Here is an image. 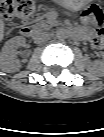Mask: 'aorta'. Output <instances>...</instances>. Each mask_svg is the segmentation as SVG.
<instances>
[{"label":"aorta","instance_id":"762f6f07","mask_svg":"<svg viewBox=\"0 0 104 137\" xmlns=\"http://www.w3.org/2000/svg\"><path fill=\"white\" fill-rule=\"evenodd\" d=\"M56 36L59 38V39H66L68 36H69V32L65 29H59L57 32H56Z\"/></svg>","mask_w":104,"mask_h":137}]
</instances>
